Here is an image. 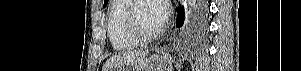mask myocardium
Segmentation results:
<instances>
[{
  "label": "myocardium",
  "mask_w": 301,
  "mask_h": 71,
  "mask_svg": "<svg viewBox=\"0 0 301 71\" xmlns=\"http://www.w3.org/2000/svg\"><path fill=\"white\" fill-rule=\"evenodd\" d=\"M143 1L145 0H130L125 13V25L129 35L133 39L139 43H148L157 39L161 34V30H157L153 33H145L140 28L138 22L136 21L135 13L139 3Z\"/></svg>",
  "instance_id": "myocardium-1"
}]
</instances>
